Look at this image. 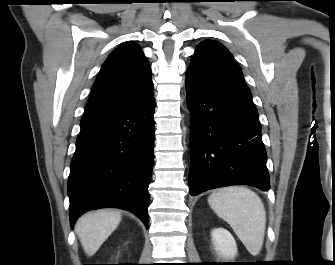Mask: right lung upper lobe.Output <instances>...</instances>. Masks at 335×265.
<instances>
[{
  "mask_svg": "<svg viewBox=\"0 0 335 265\" xmlns=\"http://www.w3.org/2000/svg\"><path fill=\"white\" fill-rule=\"evenodd\" d=\"M152 94L151 69L146 57L137 44L125 43L102 65L84 115L126 108Z\"/></svg>",
  "mask_w": 335,
  "mask_h": 265,
  "instance_id": "obj_1",
  "label": "right lung upper lobe"
}]
</instances>
